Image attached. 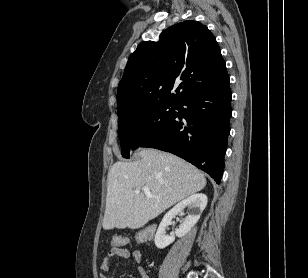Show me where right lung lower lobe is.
<instances>
[{"instance_id":"98d812e1","label":"right lung lower lobe","mask_w":308,"mask_h":278,"mask_svg":"<svg viewBox=\"0 0 308 278\" xmlns=\"http://www.w3.org/2000/svg\"><path fill=\"white\" fill-rule=\"evenodd\" d=\"M229 77L178 103L175 118L139 147L173 153L208 173L218 184L230 131Z\"/></svg>"}]
</instances>
